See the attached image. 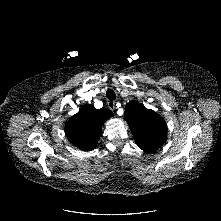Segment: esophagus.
I'll use <instances>...</instances> for the list:
<instances>
[{
	"label": "esophagus",
	"instance_id": "esophagus-1",
	"mask_svg": "<svg viewBox=\"0 0 221 221\" xmlns=\"http://www.w3.org/2000/svg\"><path fill=\"white\" fill-rule=\"evenodd\" d=\"M107 105H108V108H109L110 110H115V109H116V104H115L114 101H108V102H107Z\"/></svg>",
	"mask_w": 221,
	"mask_h": 221
}]
</instances>
